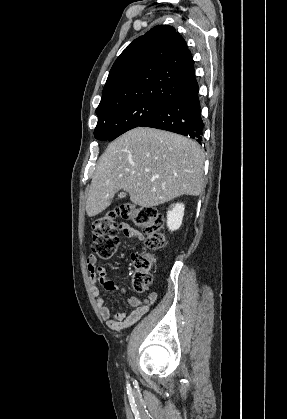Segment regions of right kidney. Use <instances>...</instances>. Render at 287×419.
<instances>
[{
    "label": "right kidney",
    "mask_w": 287,
    "mask_h": 419,
    "mask_svg": "<svg viewBox=\"0 0 287 419\" xmlns=\"http://www.w3.org/2000/svg\"><path fill=\"white\" fill-rule=\"evenodd\" d=\"M184 204L176 203L170 206L167 211V227L171 231L180 228L184 216Z\"/></svg>",
    "instance_id": "1"
}]
</instances>
